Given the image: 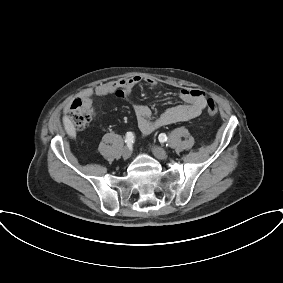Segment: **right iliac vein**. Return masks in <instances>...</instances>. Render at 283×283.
Instances as JSON below:
<instances>
[{"label": "right iliac vein", "instance_id": "1", "mask_svg": "<svg viewBox=\"0 0 283 283\" xmlns=\"http://www.w3.org/2000/svg\"><path fill=\"white\" fill-rule=\"evenodd\" d=\"M132 152L128 147H124L122 150V156L125 159H128L131 156Z\"/></svg>", "mask_w": 283, "mask_h": 283}]
</instances>
